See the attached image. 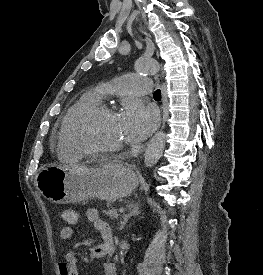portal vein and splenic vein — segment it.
<instances>
[{
  "mask_svg": "<svg viewBox=\"0 0 263 275\" xmlns=\"http://www.w3.org/2000/svg\"><path fill=\"white\" fill-rule=\"evenodd\" d=\"M119 212H120V213H123V212H124V208H123V207H120V208H119Z\"/></svg>",
  "mask_w": 263,
  "mask_h": 275,
  "instance_id": "1",
  "label": "portal vein and splenic vein"
}]
</instances>
